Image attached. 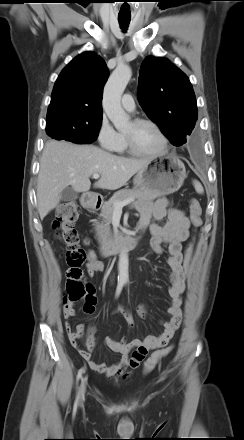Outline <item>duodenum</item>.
Instances as JSON below:
<instances>
[{"instance_id": "410a0bca", "label": "duodenum", "mask_w": 244, "mask_h": 440, "mask_svg": "<svg viewBox=\"0 0 244 440\" xmlns=\"http://www.w3.org/2000/svg\"><path fill=\"white\" fill-rule=\"evenodd\" d=\"M84 205L89 210H97L101 206V200L95 195L88 194L83 199ZM140 230V229H139ZM139 243V236L114 237L103 242L101 254L104 257H110L126 249L135 248Z\"/></svg>"}]
</instances>
